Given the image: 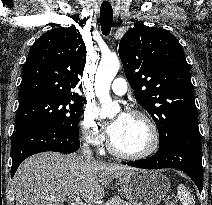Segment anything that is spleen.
<instances>
[{
	"mask_svg": "<svg viewBox=\"0 0 212 205\" xmlns=\"http://www.w3.org/2000/svg\"><path fill=\"white\" fill-rule=\"evenodd\" d=\"M177 197L182 205H195L193 196L183 184L178 186Z\"/></svg>",
	"mask_w": 212,
	"mask_h": 205,
	"instance_id": "1",
	"label": "spleen"
}]
</instances>
